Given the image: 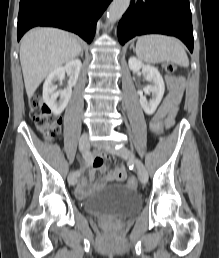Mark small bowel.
Returning a JSON list of instances; mask_svg holds the SVG:
<instances>
[{
	"mask_svg": "<svg viewBox=\"0 0 219 258\" xmlns=\"http://www.w3.org/2000/svg\"><path fill=\"white\" fill-rule=\"evenodd\" d=\"M165 81L170 89V93H167L166 96H163V100L158 104L156 108V113H159L160 117L169 116V121H166V127L169 128L174 123V118L176 115L177 105H181L183 101L182 91L185 85V79L182 76L176 75H167ZM107 158L106 153H96L91 159V170L89 179L92 180L96 171L104 172L105 165L104 162ZM111 165L110 163L108 164ZM80 173V172H79ZM128 171L126 167H114L113 171H110L109 174H102V179H128ZM88 192V181L85 178H81L77 188L78 195H84Z\"/></svg>",
	"mask_w": 219,
	"mask_h": 258,
	"instance_id": "1",
	"label": "small bowel"
}]
</instances>
